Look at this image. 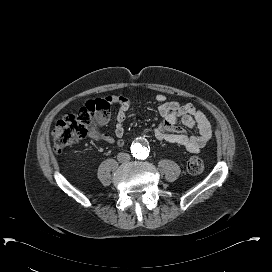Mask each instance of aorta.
<instances>
[{"label": "aorta", "mask_w": 272, "mask_h": 272, "mask_svg": "<svg viewBox=\"0 0 272 272\" xmlns=\"http://www.w3.org/2000/svg\"><path fill=\"white\" fill-rule=\"evenodd\" d=\"M131 153L139 160L146 159L149 155V148L145 140H138L131 145Z\"/></svg>", "instance_id": "obj_1"}]
</instances>
